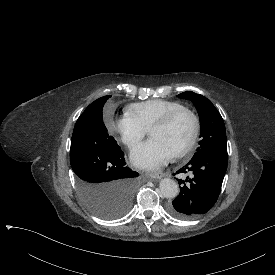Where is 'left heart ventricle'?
<instances>
[{
  "instance_id": "obj_1",
  "label": "left heart ventricle",
  "mask_w": 275,
  "mask_h": 275,
  "mask_svg": "<svg viewBox=\"0 0 275 275\" xmlns=\"http://www.w3.org/2000/svg\"><path fill=\"white\" fill-rule=\"evenodd\" d=\"M192 124L188 115L178 117L169 128H153L151 139H157L167 145L173 153L183 147L191 134Z\"/></svg>"
}]
</instances>
